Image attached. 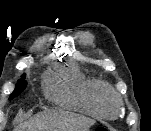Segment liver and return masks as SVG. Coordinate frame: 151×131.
<instances>
[{"label":"liver","instance_id":"6515ba94","mask_svg":"<svg viewBox=\"0 0 151 131\" xmlns=\"http://www.w3.org/2000/svg\"><path fill=\"white\" fill-rule=\"evenodd\" d=\"M95 123L91 118L69 111L39 113L14 128V131H89Z\"/></svg>","mask_w":151,"mask_h":131}]
</instances>
